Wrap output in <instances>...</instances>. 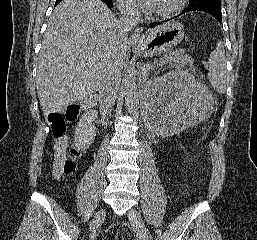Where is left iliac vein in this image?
I'll return each instance as SVG.
<instances>
[{"label":"left iliac vein","instance_id":"4c4485c4","mask_svg":"<svg viewBox=\"0 0 257 240\" xmlns=\"http://www.w3.org/2000/svg\"><path fill=\"white\" fill-rule=\"evenodd\" d=\"M127 216L129 218L130 223L132 224L134 229L137 231V233L139 234V236L141 237L142 240H153L151 233L145 226L140 213L136 209L131 208L127 212Z\"/></svg>","mask_w":257,"mask_h":240}]
</instances>
